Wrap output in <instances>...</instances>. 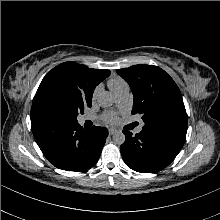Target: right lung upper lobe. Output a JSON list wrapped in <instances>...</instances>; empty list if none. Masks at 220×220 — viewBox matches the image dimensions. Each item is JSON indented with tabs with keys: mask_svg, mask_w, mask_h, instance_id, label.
<instances>
[{
	"mask_svg": "<svg viewBox=\"0 0 220 220\" xmlns=\"http://www.w3.org/2000/svg\"><path fill=\"white\" fill-rule=\"evenodd\" d=\"M53 74L71 76L73 82L77 85V87L84 94L90 95L92 97L95 87L110 75V71L90 69L84 65H80L75 62H65L53 68L43 78L33 99V104L31 108L32 125L45 121H53L46 115H44L41 109V96L44 91L45 82L47 78H49Z\"/></svg>",
	"mask_w": 220,
	"mask_h": 220,
	"instance_id": "1",
	"label": "right lung upper lobe"
}]
</instances>
